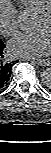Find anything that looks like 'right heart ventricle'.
Here are the masks:
<instances>
[{
  "mask_svg": "<svg viewBox=\"0 0 51 153\" xmlns=\"http://www.w3.org/2000/svg\"><path fill=\"white\" fill-rule=\"evenodd\" d=\"M27 7L35 12H41L51 5V0H24Z\"/></svg>",
  "mask_w": 51,
  "mask_h": 153,
  "instance_id": "right-heart-ventricle-1",
  "label": "right heart ventricle"
}]
</instances>
